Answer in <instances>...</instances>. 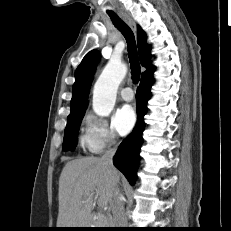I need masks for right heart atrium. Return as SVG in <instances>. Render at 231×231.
<instances>
[{"label":"right heart atrium","instance_id":"d8ad5b80","mask_svg":"<svg viewBox=\"0 0 231 231\" xmlns=\"http://www.w3.org/2000/svg\"><path fill=\"white\" fill-rule=\"evenodd\" d=\"M86 133L91 137L95 152H102L118 143V136L108 120L88 113L85 117Z\"/></svg>","mask_w":231,"mask_h":231}]
</instances>
